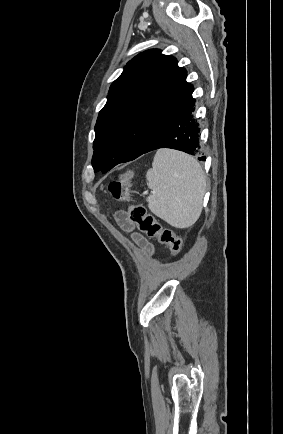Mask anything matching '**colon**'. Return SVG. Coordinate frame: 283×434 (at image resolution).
<instances>
[{
    "mask_svg": "<svg viewBox=\"0 0 283 434\" xmlns=\"http://www.w3.org/2000/svg\"><path fill=\"white\" fill-rule=\"evenodd\" d=\"M132 171L126 172L122 177L109 184V192L118 201L131 202L130 179ZM129 220L137 226L138 230L150 238H156L161 244L169 247L173 256L178 255L183 246L182 239L171 229L162 225L150 215L146 208L140 204H130L128 209Z\"/></svg>",
    "mask_w": 283,
    "mask_h": 434,
    "instance_id": "1",
    "label": "colon"
}]
</instances>
